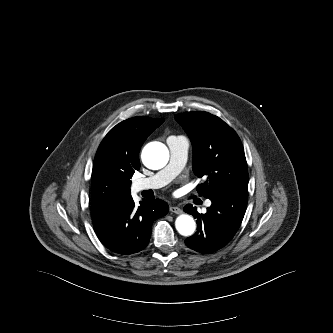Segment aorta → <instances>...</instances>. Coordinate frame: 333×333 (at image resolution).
<instances>
[{
  "label": "aorta",
  "mask_w": 333,
  "mask_h": 333,
  "mask_svg": "<svg viewBox=\"0 0 333 333\" xmlns=\"http://www.w3.org/2000/svg\"><path fill=\"white\" fill-rule=\"evenodd\" d=\"M143 164L152 170L163 168L169 160V151L167 147L160 142H151L147 144L142 151ZM175 226L179 234L183 236H191L196 229L194 219L187 214L177 217Z\"/></svg>",
  "instance_id": "1"
}]
</instances>
